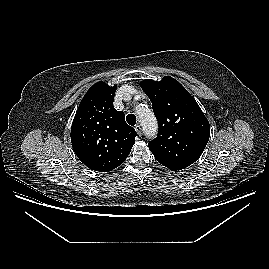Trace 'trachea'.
Instances as JSON below:
<instances>
[{"instance_id":"trachea-1","label":"trachea","mask_w":269,"mask_h":269,"mask_svg":"<svg viewBox=\"0 0 269 269\" xmlns=\"http://www.w3.org/2000/svg\"><path fill=\"white\" fill-rule=\"evenodd\" d=\"M136 116L134 114H128L126 116V121L128 122V124H130L131 126H134L136 124Z\"/></svg>"}]
</instances>
